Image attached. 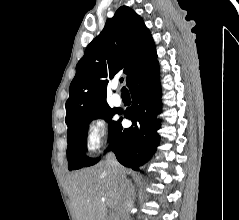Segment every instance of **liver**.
Masks as SVG:
<instances>
[{"mask_svg":"<svg viewBox=\"0 0 239 220\" xmlns=\"http://www.w3.org/2000/svg\"><path fill=\"white\" fill-rule=\"evenodd\" d=\"M123 174L130 172L123 168ZM68 192L76 220H108L107 205L116 208L122 204L119 178L105 161L72 175Z\"/></svg>","mask_w":239,"mask_h":220,"instance_id":"6515ba94","label":"liver"}]
</instances>
